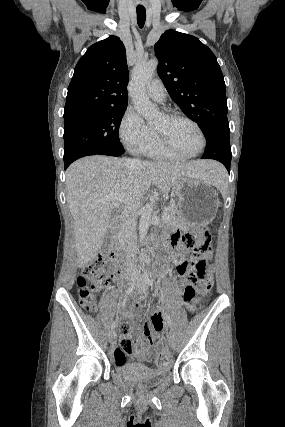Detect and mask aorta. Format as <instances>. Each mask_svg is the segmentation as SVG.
Segmentation results:
<instances>
[{
	"label": "aorta",
	"instance_id": "762f6f07",
	"mask_svg": "<svg viewBox=\"0 0 285 427\" xmlns=\"http://www.w3.org/2000/svg\"><path fill=\"white\" fill-rule=\"evenodd\" d=\"M158 66V60L153 58L144 63H137L132 71L129 93L135 109L146 120H152L158 115V108L146 94V84L152 80ZM153 213L152 203L144 206L139 221V239L143 243L148 232Z\"/></svg>",
	"mask_w": 285,
	"mask_h": 427
}]
</instances>
